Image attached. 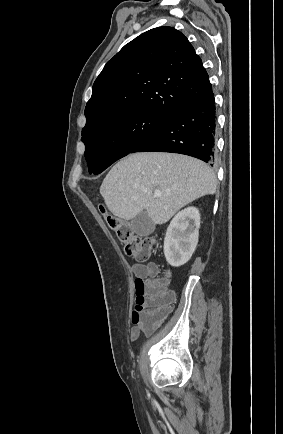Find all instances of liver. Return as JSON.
I'll use <instances>...</instances> for the list:
<instances>
[{
    "label": "liver",
    "instance_id": "1",
    "mask_svg": "<svg viewBox=\"0 0 283 434\" xmlns=\"http://www.w3.org/2000/svg\"><path fill=\"white\" fill-rule=\"evenodd\" d=\"M217 179L204 162L182 154L141 152L116 163L100 187L108 210L130 220L145 212L154 224H164L182 207L212 195ZM160 190L161 196L154 197Z\"/></svg>",
    "mask_w": 283,
    "mask_h": 434
}]
</instances>
